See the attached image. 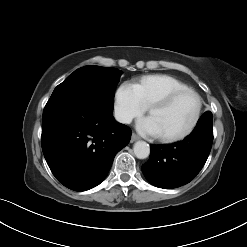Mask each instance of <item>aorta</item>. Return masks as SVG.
<instances>
[{
    "instance_id": "762f6f07",
    "label": "aorta",
    "mask_w": 247,
    "mask_h": 247,
    "mask_svg": "<svg viewBox=\"0 0 247 247\" xmlns=\"http://www.w3.org/2000/svg\"><path fill=\"white\" fill-rule=\"evenodd\" d=\"M133 151L138 159H146L150 154V147L145 141H137L134 144Z\"/></svg>"
}]
</instances>
